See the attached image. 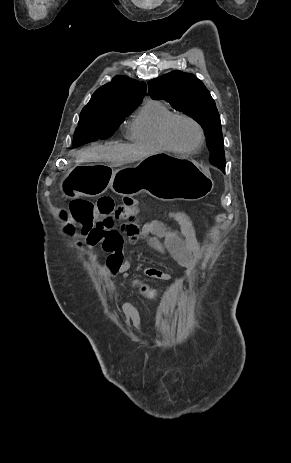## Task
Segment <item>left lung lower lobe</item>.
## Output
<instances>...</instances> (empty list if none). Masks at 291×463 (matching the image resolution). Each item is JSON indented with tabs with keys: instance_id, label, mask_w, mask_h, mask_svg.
<instances>
[{
	"instance_id": "obj_1",
	"label": "left lung lower lobe",
	"mask_w": 291,
	"mask_h": 463,
	"mask_svg": "<svg viewBox=\"0 0 291 463\" xmlns=\"http://www.w3.org/2000/svg\"><path fill=\"white\" fill-rule=\"evenodd\" d=\"M221 170L224 172V170H225V167H224V168H221Z\"/></svg>"
}]
</instances>
